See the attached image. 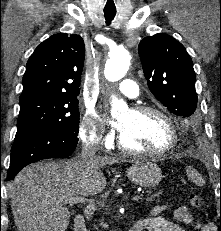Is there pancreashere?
Instances as JSON below:
<instances>
[{"instance_id":"obj_1","label":"pancreas","mask_w":221,"mask_h":231,"mask_svg":"<svg viewBox=\"0 0 221 231\" xmlns=\"http://www.w3.org/2000/svg\"><path fill=\"white\" fill-rule=\"evenodd\" d=\"M157 196H158V194L150 195L146 200H147V201H153V199H154L155 197H157ZM101 226H103L104 228L107 227V225L104 224L103 222L101 223Z\"/></svg>"}]
</instances>
